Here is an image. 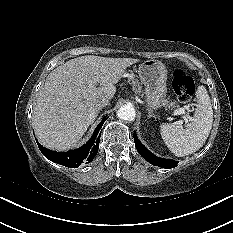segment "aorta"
<instances>
[{
	"mask_svg": "<svg viewBox=\"0 0 233 233\" xmlns=\"http://www.w3.org/2000/svg\"><path fill=\"white\" fill-rule=\"evenodd\" d=\"M117 116L119 119L125 121H133L136 116L135 109L132 105L126 104L121 106L117 111Z\"/></svg>",
	"mask_w": 233,
	"mask_h": 233,
	"instance_id": "obj_1",
	"label": "aorta"
}]
</instances>
